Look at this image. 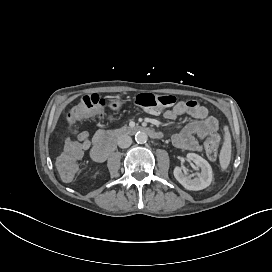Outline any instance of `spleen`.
<instances>
[{
  "instance_id": "obj_1",
  "label": "spleen",
  "mask_w": 272,
  "mask_h": 272,
  "mask_svg": "<svg viewBox=\"0 0 272 272\" xmlns=\"http://www.w3.org/2000/svg\"><path fill=\"white\" fill-rule=\"evenodd\" d=\"M230 155H231L230 136L229 134H227L226 142L223 146V149L220 155L221 166L223 169H225L228 166L230 161Z\"/></svg>"
}]
</instances>
